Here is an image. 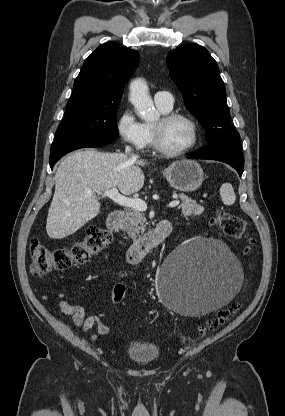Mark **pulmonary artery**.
<instances>
[{
    "label": "pulmonary artery",
    "instance_id": "pulmonary-artery-1",
    "mask_svg": "<svg viewBox=\"0 0 285 416\" xmlns=\"http://www.w3.org/2000/svg\"><path fill=\"white\" fill-rule=\"evenodd\" d=\"M155 102L164 108L171 109L173 106V97L169 92L157 91L154 95Z\"/></svg>",
    "mask_w": 285,
    "mask_h": 416
}]
</instances>
